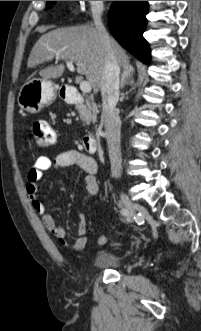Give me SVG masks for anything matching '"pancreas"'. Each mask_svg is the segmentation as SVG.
Listing matches in <instances>:
<instances>
[{
    "instance_id": "obj_1",
    "label": "pancreas",
    "mask_w": 201,
    "mask_h": 331,
    "mask_svg": "<svg viewBox=\"0 0 201 331\" xmlns=\"http://www.w3.org/2000/svg\"><path fill=\"white\" fill-rule=\"evenodd\" d=\"M76 108L84 124L89 125L91 122H96L99 110L94 102L87 98L85 104H78Z\"/></svg>"
}]
</instances>
